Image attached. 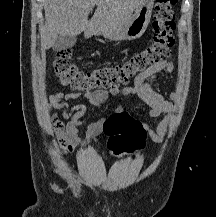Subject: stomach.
Returning <instances> with one entry per match:
<instances>
[{"instance_id": "stomach-1", "label": "stomach", "mask_w": 216, "mask_h": 217, "mask_svg": "<svg viewBox=\"0 0 216 217\" xmlns=\"http://www.w3.org/2000/svg\"><path fill=\"white\" fill-rule=\"evenodd\" d=\"M155 0H140L135 13L129 17L108 38L112 40H135L140 38L146 31L152 14Z\"/></svg>"}]
</instances>
